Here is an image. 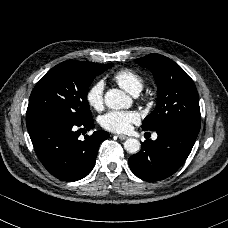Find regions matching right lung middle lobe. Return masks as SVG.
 <instances>
[{"mask_svg":"<svg viewBox=\"0 0 228 228\" xmlns=\"http://www.w3.org/2000/svg\"><path fill=\"white\" fill-rule=\"evenodd\" d=\"M113 64L67 60L47 72L35 85L26 121L56 115L76 122L92 119L87 93L93 79Z\"/></svg>","mask_w":228,"mask_h":228,"instance_id":"obj_1","label":"right lung middle lobe"}]
</instances>
